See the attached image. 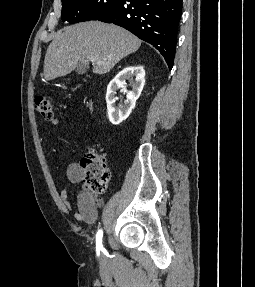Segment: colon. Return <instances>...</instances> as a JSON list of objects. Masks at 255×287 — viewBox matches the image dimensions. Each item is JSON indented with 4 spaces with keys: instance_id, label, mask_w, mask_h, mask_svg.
<instances>
[{
    "instance_id": "colon-1",
    "label": "colon",
    "mask_w": 255,
    "mask_h": 287,
    "mask_svg": "<svg viewBox=\"0 0 255 287\" xmlns=\"http://www.w3.org/2000/svg\"><path fill=\"white\" fill-rule=\"evenodd\" d=\"M36 111L47 121L56 123L54 102L49 96H38L35 99ZM81 164L84 169V182L93 193L106 191L110 172L103 153L90 150L83 157Z\"/></svg>"
}]
</instances>
